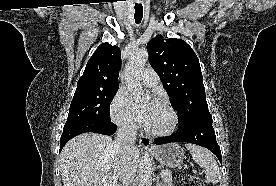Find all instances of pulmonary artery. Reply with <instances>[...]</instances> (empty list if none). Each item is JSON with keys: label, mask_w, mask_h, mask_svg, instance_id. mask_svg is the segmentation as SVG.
I'll list each match as a JSON object with an SVG mask.
<instances>
[{"label": "pulmonary artery", "mask_w": 276, "mask_h": 186, "mask_svg": "<svg viewBox=\"0 0 276 186\" xmlns=\"http://www.w3.org/2000/svg\"><path fill=\"white\" fill-rule=\"evenodd\" d=\"M141 80L144 85L148 87H154L158 84L159 78L157 73L153 69L148 68L142 72Z\"/></svg>", "instance_id": "e3ab8cb5"}]
</instances>
